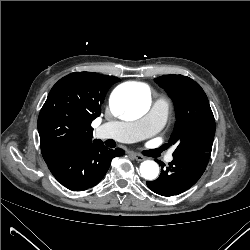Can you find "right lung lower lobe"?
Masks as SVG:
<instances>
[{"mask_svg":"<svg viewBox=\"0 0 250 250\" xmlns=\"http://www.w3.org/2000/svg\"><path fill=\"white\" fill-rule=\"evenodd\" d=\"M123 154L122 149L108 150L97 140L64 153L47 156L44 160L62 185L72 191H83L99 183L112 159Z\"/></svg>","mask_w":250,"mask_h":250,"instance_id":"right-lung-lower-lobe-1","label":"right lung lower lobe"}]
</instances>
